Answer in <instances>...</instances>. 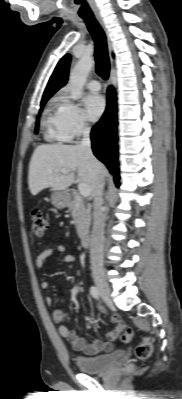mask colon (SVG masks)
<instances>
[{
  "instance_id": "obj_1",
  "label": "colon",
  "mask_w": 182,
  "mask_h": 399,
  "mask_svg": "<svg viewBox=\"0 0 182 399\" xmlns=\"http://www.w3.org/2000/svg\"><path fill=\"white\" fill-rule=\"evenodd\" d=\"M48 229V222L42 213L34 212L31 216V232L36 237H42ZM121 340L124 343L129 342L132 339L133 331L131 327L123 324L121 328ZM153 350V342L149 337H145L136 347V356L141 360H145L150 357ZM133 368L132 365L128 366V370Z\"/></svg>"
}]
</instances>
